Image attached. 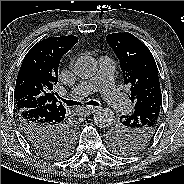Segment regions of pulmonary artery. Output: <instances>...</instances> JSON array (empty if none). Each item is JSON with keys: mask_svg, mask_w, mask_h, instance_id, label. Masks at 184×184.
<instances>
[{"mask_svg": "<svg viewBox=\"0 0 184 184\" xmlns=\"http://www.w3.org/2000/svg\"><path fill=\"white\" fill-rule=\"evenodd\" d=\"M114 69L115 63L111 58L101 57L97 74L93 78L74 86L70 90V96L82 98L100 90L112 110L117 113L129 112L131 110L129 101L114 85Z\"/></svg>", "mask_w": 184, "mask_h": 184, "instance_id": "obj_1", "label": "pulmonary artery"}]
</instances>
